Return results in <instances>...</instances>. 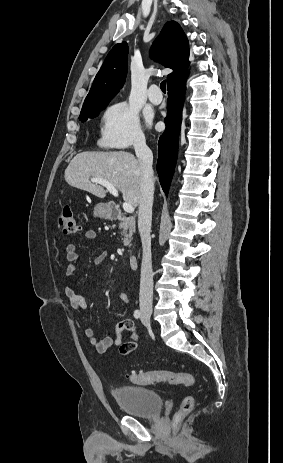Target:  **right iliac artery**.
<instances>
[{
	"instance_id": "right-iliac-artery-1",
	"label": "right iliac artery",
	"mask_w": 283,
	"mask_h": 463,
	"mask_svg": "<svg viewBox=\"0 0 283 463\" xmlns=\"http://www.w3.org/2000/svg\"><path fill=\"white\" fill-rule=\"evenodd\" d=\"M140 316H141V312H140L139 310H135V312H134V317H135L136 319H138V318H140Z\"/></svg>"
}]
</instances>
